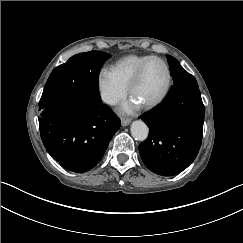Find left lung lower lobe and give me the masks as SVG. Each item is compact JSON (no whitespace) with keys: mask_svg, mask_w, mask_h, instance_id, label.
<instances>
[{"mask_svg":"<svg viewBox=\"0 0 243 243\" xmlns=\"http://www.w3.org/2000/svg\"><path fill=\"white\" fill-rule=\"evenodd\" d=\"M140 118L149 127L148 138L139 145L146 167L162 176L186 169L197 156L204 122L199 87H180Z\"/></svg>","mask_w":243,"mask_h":243,"instance_id":"1","label":"left lung lower lobe"}]
</instances>
